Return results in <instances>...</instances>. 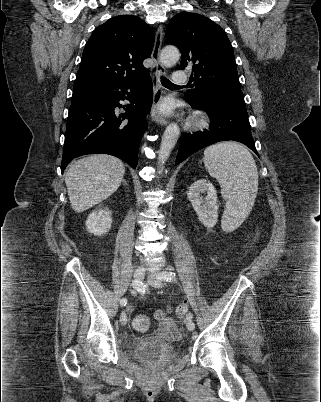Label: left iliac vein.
Listing matches in <instances>:
<instances>
[{
    "label": "left iliac vein",
    "mask_w": 321,
    "mask_h": 402,
    "mask_svg": "<svg viewBox=\"0 0 321 402\" xmlns=\"http://www.w3.org/2000/svg\"><path fill=\"white\" fill-rule=\"evenodd\" d=\"M161 273H163V272L153 271L148 275V281L153 287L161 288L163 286L162 281L158 277ZM185 323H186V327L189 331H194L195 324L191 319H187L185 321Z\"/></svg>",
    "instance_id": "4c4485c4"
}]
</instances>
